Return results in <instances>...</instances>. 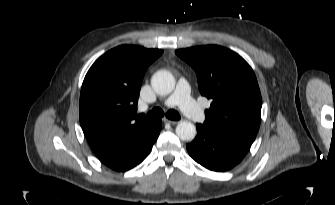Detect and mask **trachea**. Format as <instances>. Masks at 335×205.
<instances>
[{
  "mask_svg": "<svg viewBox=\"0 0 335 205\" xmlns=\"http://www.w3.org/2000/svg\"><path fill=\"white\" fill-rule=\"evenodd\" d=\"M147 115L149 117H163L164 116V112L162 111L161 108H154L151 111H149L147 113ZM166 117L168 119L175 120V121L180 120V118H181L180 115H179V113L177 111H175V110H169V111H167Z\"/></svg>",
  "mask_w": 335,
  "mask_h": 205,
  "instance_id": "obj_1",
  "label": "trachea"
}]
</instances>
